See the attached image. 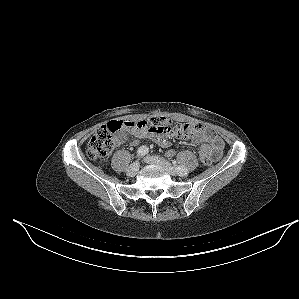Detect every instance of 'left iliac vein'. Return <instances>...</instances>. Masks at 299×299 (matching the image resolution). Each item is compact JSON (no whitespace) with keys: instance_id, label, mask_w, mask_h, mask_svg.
<instances>
[{"instance_id":"1","label":"left iliac vein","mask_w":299,"mask_h":299,"mask_svg":"<svg viewBox=\"0 0 299 299\" xmlns=\"http://www.w3.org/2000/svg\"><path fill=\"white\" fill-rule=\"evenodd\" d=\"M145 161L150 164L159 165L165 168L171 175H176V170L164 159L157 157V156H147Z\"/></svg>"}]
</instances>
